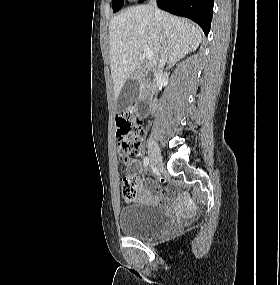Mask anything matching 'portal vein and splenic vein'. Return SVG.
<instances>
[{
    "label": "portal vein and splenic vein",
    "instance_id": "1",
    "mask_svg": "<svg viewBox=\"0 0 280 285\" xmlns=\"http://www.w3.org/2000/svg\"><path fill=\"white\" fill-rule=\"evenodd\" d=\"M143 52H144L145 57L148 60H152L153 59L154 53L149 49L148 45H143Z\"/></svg>",
    "mask_w": 280,
    "mask_h": 285
}]
</instances>
